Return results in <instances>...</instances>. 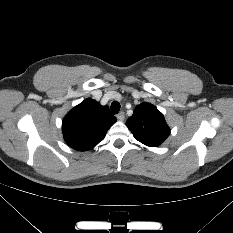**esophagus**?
<instances>
[{
    "instance_id": "34e87169",
    "label": "esophagus",
    "mask_w": 233,
    "mask_h": 233,
    "mask_svg": "<svg viewBox=\"0 0 233 233\" xmlns=\"http://www.w3.org/2000/svg\"><path fill=\"white\" fill-rule=\"evenodd\" d=\"M124 118H125V114H124L123 111H121V112H119V113L117 114V119H118L119 121H123Z\"/></svg>"
}]
</instances>
